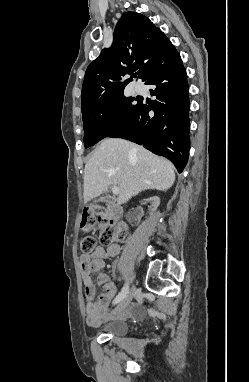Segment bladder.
Segmentation results:
<instances>
[{
	"label": "bladder",
	"instance_id": "1",
	"mask_svg": "<svg viewBox=\"0 0 249 382\" xmlns=\"http://www.w3.org/2000/svg\"><path fill=\"white\" fill-rule=\"evenodd\" d=\"M106 334L112 336H125L128 333L129 325L125 320H115L104 326Z\"/></svg>",
	"mask_w": 249,
	"mask_h": 382
}]
</instances>
